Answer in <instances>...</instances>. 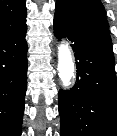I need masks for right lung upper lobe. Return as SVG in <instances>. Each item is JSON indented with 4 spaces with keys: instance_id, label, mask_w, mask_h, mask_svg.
<instances>
[{
    "instance_id": "1",
    "label": "right lung upper lobe",
    "mask_w": 117,
    "mask_h": 136,
    "mask_svg": "<svg viewBox=\"0 0 117 136\" xmlns=\"http://www.w3.org/2000/svg\"><path fill=\"white\" fill-rule=\"evenodd\" d=\"M26 0H0V37L26 25Z\"/></svg>"
}]
</instances>
